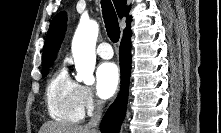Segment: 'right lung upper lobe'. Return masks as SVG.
I'll return each mask as SVG.
<instances>
[{
  "mask_svg": "<svg viewBox=\"0 0 221 133\" xmlns=\"http://www.w3.org/2000/svg\"><path fill=\"white\" fill-rule=\"evenodd\" d=\"M118 16L122 18L126 17L127 27L124 30V35L131 32L128 12L130 7L127 6L126 0H113ZM66 29V13L61 12L56 15L50 23V27L46 36L44 48H43V65L53 63L56 58L57 51L63 40L64 32Z\"/></svg>",
  "mask_w": 221,
  "mask_h": 133,
  "instance_id": "cb5924a9",
  "label": "right lung upper lobe"
}]
</instances>
